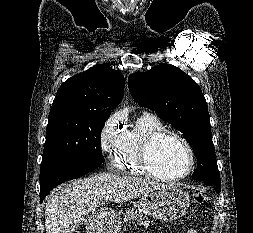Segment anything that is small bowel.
I'll return each mask as SVG.
<instances>
[{"instance_id":"c3829d8e","label":"small bowel","mask_w":253,"mask_h":233,"mask_svg":"<svg viewBox=\"0 0 253 233\" xmlns=\"http://www.w3.org/2000/svg\"><path fill=\"white\" fill-rule=\"evenodd\" d=\"M187 233H197L195 230H189Z\"/></svg>"}]
</instances>
